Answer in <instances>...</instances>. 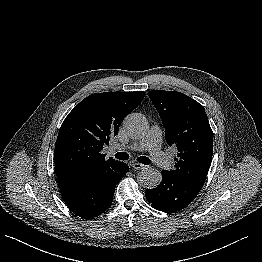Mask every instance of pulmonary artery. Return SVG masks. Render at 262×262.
I'll list each match as a JSON object with an SVG mask.
<instances>
[{
  "label": "pulmonary artery",
  "mask_w": 262,
  "mask_h": 262,
  "mask_svg": "<svg viewBox=\"0 0 262 262\" xmlns=\"http://www.w3.org/2000/svg\"><path fill=\"white\" fill-rule=\"evenodd\" d=\"M161 145V130L157 125L150 128L147 135L134 143L128 145L116 144L113 146L114 150H131V151H149L153 160L157 165L166 167L169 165L167 156L160 150Z\"/></svg>",
  "instance_id": "e3ab8cb5"
}]
</instances>
